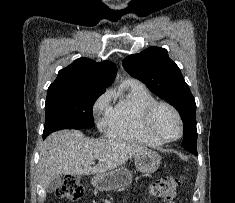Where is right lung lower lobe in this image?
Segmentation results:
<instances>
[{
	"instance_id": "98d812e1",
	"label": "right lung lower lobe",
	"mask_w": 235,
	"mask_h": 203,
	"mask_svg": "<svg viewBox=\"0 0 235 203\" xmlns=\"http://www.w3.org/2000/svg\"><path fill=\"white\" fill-rule=\"evenodd\" d=\"M47 136H43V139H45Z\"/></svg>"
}]
</instances>
